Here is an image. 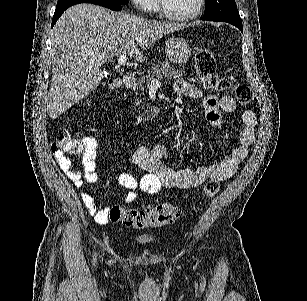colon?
<instances>
[{
  "label": "colon",
  "instance_id": "5ec220e1",
  "mask_svg": "<svg viewBox=\"0 0 307 301\" xmlns=\"http://www.w3.org/2000/svg\"><path fill=\"white\" fill-rule=\"evenodd\" d=\"M195 68L203 85L216 91L233 90L237 101L241 105H248L254 101V93L250 87L244 84H232L230 78L219 75L216 70V60L212 52L206 47H198L194 57ZM107 87L114 93L120 90L119 80H110ZM54 151H62L71 155H80L84 151L82 138L64 129L61 130L54 143ZM219 190L216 180H209L203 186V195L206 198L214 197ZM179 210L171 204L161 203L151 209L138 210L113 206L109 211V219L113 223H122L127 227L144 229L169 225L179 217Z\"/></svg>",
  "mask_w": 307,
  "mask_h": 301
}]
</instances>
